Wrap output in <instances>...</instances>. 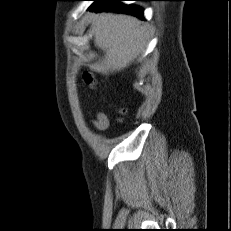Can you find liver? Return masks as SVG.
<instances>
[{"mask_svg":"<svg viewBox=\"0 0 231 231\" xmlns=\"http://www.w3.org/2000/svg\"><path fill=\"white\" fill-rule=\"evenodd\" d=\"M95 45L106 50L96 64L97 72L108 75L127 67L144 51L146 28L131 16L101 13L95 16Z\"/></svg>","mask_w":231,"mask_h":231,"instance_id":"1","label":"liver"}]
</instances>
